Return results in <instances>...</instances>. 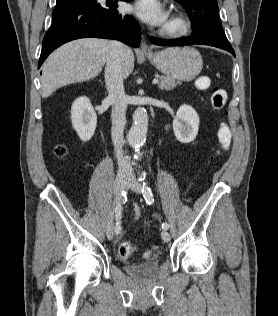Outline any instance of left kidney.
Wrapping results in <instances>:
<instances>
[{
  "label": "left kidney",
  "mask_w": 278,
  "mask_h": 316,
  "mask_svg": "<svg viewBox=\"0 0 278 316\" xmlns=\"http://www.w3.org/2000/svg\"><path fill=\"white\" fill-rule=\"evenodd\" d=\"M199 122L197 112L189 105H182L173 120V131L178 141L192 142L198 134Z\"/></svg>",
  "instance_id": "obj_1"
}]
</instances>
